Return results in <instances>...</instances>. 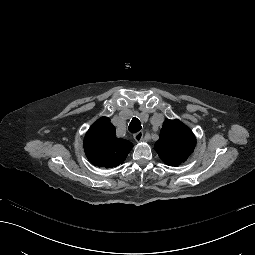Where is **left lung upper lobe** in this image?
<instances>
[{"label": "left lung upper lobe", "mask_w": 255, "mask_h": 255, "mask_svg": "<svg viewBox=\"0 0 255 255\" xmlns=\"http://www.w3.org/2000/svg\"><path fill=\"white\" fill-rule=\"evenodd\" d=\"M196 139L193 132L179 120H166L154 149L169 166H177L193 152Z\"/></svg>", "instance_id": "5c2ea615"}]
</instances>
